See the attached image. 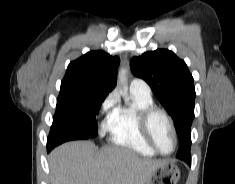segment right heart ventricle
I'll use <instances>...</instances> for the list:
<instances>
[{
    "label": "right heart ventricle",
    "mask_w": 235,
    "mask_h": 184,
    "mask_svg": "<svg viewBox=\"0 0 235 184\" xmlns=\"http://www.w3.org/2000/svg\"><path fill=\"white\" fill-rule=\"evenodd\" d=\"M135 104L131 107H118L114 113L110 130L107 153L111 158L120 159L127 154L154 157L157 154L151 148L140 128L139 116L142 110L153 106L151 97L134 94Z\"/></svg>",
    "instance_id": "right-heart-ventricle-1"
}]
</instances>
